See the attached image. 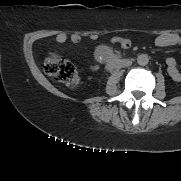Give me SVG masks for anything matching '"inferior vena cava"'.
Here are the masks:
<instances>
[{"label": "inferior vena cava", "instance_id": "602c4592", "mask_svg": "<svg viewBox=\"0 0 181 181\" xmlns=\"http://www.w3.org/2000/svg\"><path fill=\"white\" fill-rule=\"evenodd\" d=\"M132 65V61L128 60V59H124L122 62H121V67H128V66H131Z\"/></svg>", "mask_w": 181, "mask_h": 181}]
</instances>
